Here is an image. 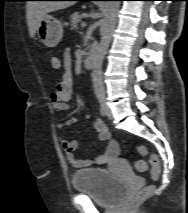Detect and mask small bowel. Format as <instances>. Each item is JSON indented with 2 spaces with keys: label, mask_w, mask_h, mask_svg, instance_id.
I'll use <instances>...</instances> for the list:
<instances>
[{
  "label": "small bowel",
  "mask_w": 188,
  "mask_h": 213,
  "mask_svg": "<svg viewBox=\"0 0 188 213\" xmlns=\"http://www.w3.org/2000/svg\"><path fill=\"white\" fill-rule=\"evenodd\" d=\"M57 58V57H56ZM60 62L59 58H57ZM72 56L70 50H65L63 54V67L65 69L60 81L56 85L55 90L51 93V101L53 110L55 112H64L69 109V102L73 90V77L71 73ZM78 121L76 117L69 118L66 122L59 124L60 127L64 125L74 124ZM92 126L96 130L97 139L101 142H108L107 148L101 155L92 159H81L75 154L79 147L77 139L62 140V146L65 151L67 160L76 168H86L92 165H99L115 161L120 153L118 143L111 139V133L108 126L98 118L92 120Z\"/></svg>",
  "instance_id": "c3829d8e"
}]
</instances>
